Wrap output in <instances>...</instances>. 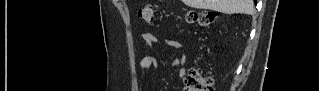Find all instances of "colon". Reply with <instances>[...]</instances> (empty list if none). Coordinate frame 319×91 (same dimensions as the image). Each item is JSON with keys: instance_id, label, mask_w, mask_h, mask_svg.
Wrapping results in <instances>:
<instances>
[{"instance_id": "obj_1", "label": "colon", "mask_w": 319, "mask_h": 91, "mask_svg": "<svg viewBox=\"0 0 319 91\" xmlns=\"http://www.w3.org/2000/svg\"><path fill=\"white\" fill-rule=\"evenodd\" d=\"M157 14L155 3H146L137 11L139 20L153 24ZM216 17L212 12H189L185 16L188 25L196 27H206L214 23ZM186 91H213V79L200 69H192L185 77Z\"/></svg>"}]
</instances>
